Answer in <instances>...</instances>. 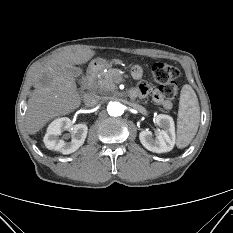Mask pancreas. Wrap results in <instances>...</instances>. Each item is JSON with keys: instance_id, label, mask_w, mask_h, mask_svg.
<instances>
[{"instance_id": "cf45deb5", "label": "pancreas", "mask_w": 233, "mask_h": 233, "mask_svg": "<svg viewBox=\"0 0 233 233\" xmlns=\"http://www.w3.org/2000/svg\"><path fill=\"white\" fill-rule=\"evenodd\" d=\"M122 80L120 70L108 69L107 72H101L97 77V86L100 92L107 93L115 89L116 83Z\"/></svg>"}]
</instances>
